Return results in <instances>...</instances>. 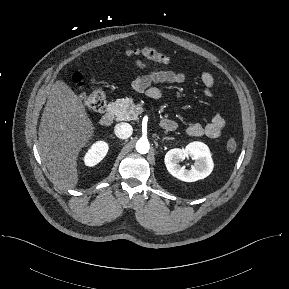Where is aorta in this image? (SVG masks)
<instances>
[{
    "mask_svg": "<svg viewBox=\"0 0 289 289\" xmlns=\"http://www.w3.org/2000/svg\"><path fill=\"white\" fill-rule=\"evenodd\" d=\"M150 148L149 142L147 139H139L136 143V150L140 154L148 153Z\"/></svg>",
    "mask_w": 289,
    "mask_h": 289,
    "instance_id": "1",
    "label": "aorta"
}]
</instances>
